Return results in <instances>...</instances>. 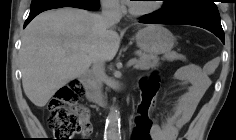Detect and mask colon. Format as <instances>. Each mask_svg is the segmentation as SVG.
Here are the masks:
<instances>
[{
	"instance_id": "5ec220e1",
	"label": "colon",
	"mask_w": 236,
	"mask_h": 140,
	"mask_svg": "<svg viewBox=\"0 0 236 140\" xmlns=\"http://www.w3.org/2000/svg\"><path fill=\"white\" fill-rule=\"evenodd\" d=\"M158 88L155 77L143 80L130 140H151L152 111ZM82 93V85L78 81H72L60 87L50 100L49 124L55 140H72L70 138L85 127L87 112L78 104Z\"/></svg>"
}]
</instances>
